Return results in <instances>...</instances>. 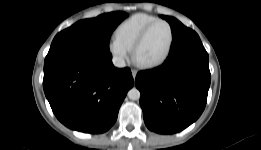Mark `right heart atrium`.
I'll return each instance as SVG.
<instances>
[{"label": "right heart atrium", "instance_id": "right-heart-atrium-1", "mask_svg": "<svg viewBox=\"0 0 261 150\" xmlns=\"http://www.w3.org/2000/svg\"><path fill=\"white\" fill-rule=\"evenodd\" d=\"M108 48L112 58L119 65L124 64V62L129 58L130 49L116 38H112L109 41Z\"/></svg>", "mask_w": 261, "mask_h": 150}]
</instances>
